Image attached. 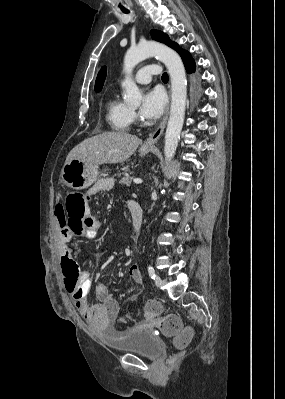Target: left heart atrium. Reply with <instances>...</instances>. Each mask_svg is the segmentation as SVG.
Returning <instances> with one entry per match:
<instances>
[{
    "mask_svg": "<svg viewBox=\"0 0 285 399\" xmlns=\"http://www.w3.org/2000/svg\"><path fill=\"white\" fill-rule=\"evenodd\" d=\"M166 103V96L162 90L158 88L151 89L143 96L141 114L150 120L157 119L163 114Z\"/></svg>",
    "mask_w": 285,
    "mask_h": 399,
    "instance_id": "left-heart-atrium-1",
    "label": "left heart atrium"
}]
</instances>
